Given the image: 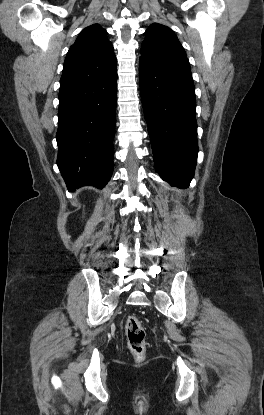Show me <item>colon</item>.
I'll return each instance as SVG.
<instances>
[{"mask_svg":"<svg viewBox=\"0 0 264 415\" xmlns=\"http://www.w3.org/2000/svg\"><path fill=\"white\" fill-rule=\"evenodd\" d=\"M125 330L129 349L138 360H142L146 351V332L142 323L137 317L129 316Z\"/></svg>","mask_w":264,"mask_h":415,"instance_id":"colon-1","label":"colon"}]
</instances>
